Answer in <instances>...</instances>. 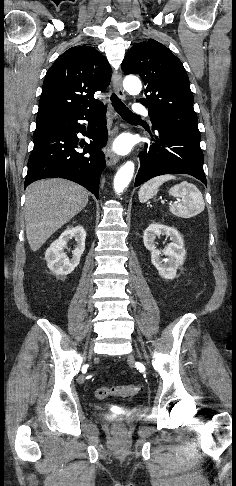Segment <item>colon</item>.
<instances>
[{
  "label": "colon",
  "instance_id": "obj_1",
  "mask_svg": "<svg viewBox=\"0 0 236 486\" xmlns=\"http://www.w3.org/2000/svg\"><path fill=\"white\" fill-rule=\"evenodd\" d=\"M142 390V386L138 384L120 385V386H104L95 391L98 399H105L111 396L121 398H131L138 395ZM115 428L120 429V425L115 424Z\"/></svg>",
  "mask_w": 236,
  "mask_h": 486
}]
</instances>
